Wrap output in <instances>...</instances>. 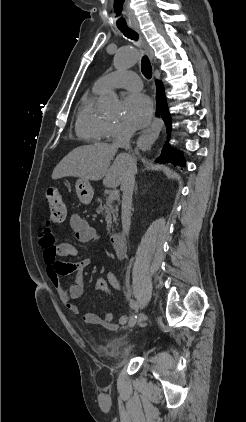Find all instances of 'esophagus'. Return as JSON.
<instances>
[{
    "label": "esophagus",
    "instance_id": "1",
    "mask_svg": "<svg viewBox=\"0 0 246 422\" xmlns=\"http://www.w3.org/2000/svg\"><path fill=\"white\" fill-rule=\"evenodd\" d=\"M132 28L134 31H136L139 34L140 37V41L145 49V51L147 52V54L149 55L150 59H153V53L151 48L149 47L141 29L140 26L138 24L132 25ZM161 126H162V122L160 118H154L150 127L140 136L139 140H138V147L142 150H147L151 147V145L154 143V141L156 140V138L159 135V132L161 130Z\"/></svg>",
    "mask_w": 246,
    "mask_h": 422
}]
</instances>
